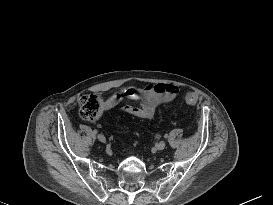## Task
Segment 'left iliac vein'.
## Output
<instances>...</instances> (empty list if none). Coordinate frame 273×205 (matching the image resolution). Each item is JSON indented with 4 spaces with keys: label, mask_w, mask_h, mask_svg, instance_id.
<instances>
[{
    "label": "left iliac vein",
    "mask_w": 273,
    "mask_h": 205,
    "mask_svg": "<svg viewBox=\"0 0 273 205\" xmlns=\"http://www.w3.org/2000/svg\"><path fill=\"white\" fill-rule=\"evenodd\" d=\"M166 146V142L165 141H160L159 143L156 144V149L157 150H163Z\"/></svg>",
    "instance_id": "1"
}]
</instances>
